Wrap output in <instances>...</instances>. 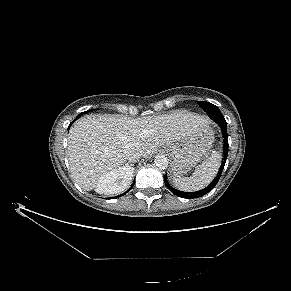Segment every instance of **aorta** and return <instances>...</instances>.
<instances>
[{
	"label": "aorta",
	"instance_id": "1",
	"mask_svg": "<svg viewBox=\"0 0 291 291\" xmlns=\"http://www.w3.org/2000/svg\"><path fill=\"white\" fill-rule=\"evenodd\" d=\"M154 163H155V166L158 167L159 169H166L169 164L167 157L163 155L156 156Z\"/></svg>",
	"mask_w": 291,
	"mask_h": 291
}]
</instances>
